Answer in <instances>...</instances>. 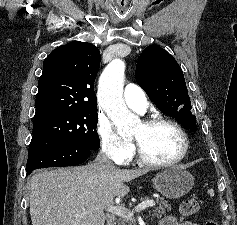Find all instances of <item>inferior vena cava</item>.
Returning a JSON list of instances; mask_svg holds the SVG:
<instances>
[{"label": "inferior vena cava", "mask_w": 237, "mask_h": 225, "mask_svg": "<svg viewBox=\"0 0 237 225\" xmlns=\"http://www.w3.org/2000/svg\"><path fill=\"white\" fill-rule=\"evenodd\" d=\"M95 164L102 168H115L105 151H100L95 159Z\"/></svg>", "instance_id": "obj_1"}]
</instances>
